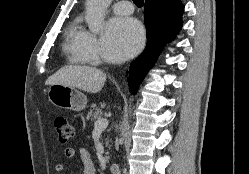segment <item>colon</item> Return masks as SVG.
I'll return each instance as SVG.
<instances>
[{
	"instance_id": "5ec220e1",
	"label": "colon",
	"mask_w": 249,
	"mask_h": 174,
	"mask_svg": "<svg viewBox=\"0 0 249 174\" xmlns=\"http://www.w3.org/2000/svg\"><path fill=\"white\" fill-rule=\"evenodd\" d=\"M54 125L61 143H67L73 138V127L66 118L57 117L54 121Z\"/></svg>"
}]
</instances>
